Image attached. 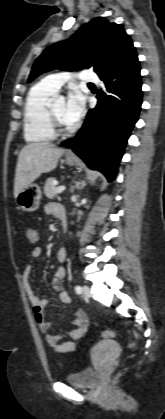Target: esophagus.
Wrapping results in <instances>:
<instances>
[{
  "mask_svg": "<svg viewBox=\"0 0 165 419\" xmlns=\"http://www.w3.org/2000/svg\"><path fill=\"white\" fill-rule=\"evenodd\" d=\"M67 155H68V156H74V154H73L71 151H69V152L67 153Z\"/></svg>",
  "mask_w": 165,
  "mask_h": 419,
  "instance_id": "esophagus-1",
  "label": "esophagus"
}]
</instances>
